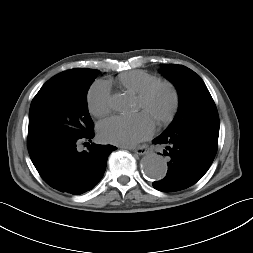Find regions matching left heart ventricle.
Wrapping results in <instances>:
<instances>
[{
  "mask_svg": "<svg viewBox=\"0 0 253 253\" xmlns=\"http://www.w3.org/2000/svg\"><path fill=\"white\" fill-rule=\"evenodd\" d=\"M171 97L166 89H160L144 104L138 99V109L146 112L153 120L163 117L169 110Z\"/></svg>",
  "mask_w": 253,
  "mask_h": 253,
  "instance_id": "1",
  "label": "left heart ventricle"
}]
</instances>
